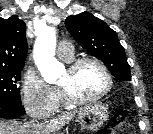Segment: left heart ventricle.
<instances>
[{"mask_svg": "<svg viewBox=\"0 0 153 134\" xmlns=\"http://www.w3.org/2000/svg\"><path fill=\"white\" fill-rule=\"evenodd\" d=\"M106 84L103 72L91 63L82 65L73 75L66 70L58 82V85L69 86L80 97L94 96L103 91Z\"/></svg>", "mask_w": 153, "mask_h": 134, "instance_id": "1", "label": "left heart ventricle"}]
</instances>
